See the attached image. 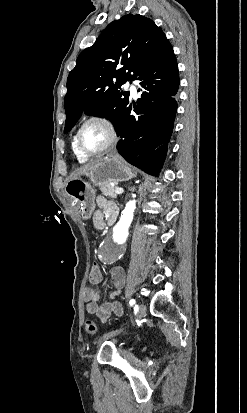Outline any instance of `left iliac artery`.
<instances>
[{"label":"left iliac artery","instance_id":"44dca946","mask_svg":"<svg viewBox=\"0 0 247 413\" xmlns=\"http://www.w3.org/2000/svg\"><path fill=\"white\" fill-rule=\"evenodd\" d=\"M135 303H136L135 299H131V300L129 301L130 306H133Z\"/></svg>","mask_w":247,"mask_h":413}]
</instances>
